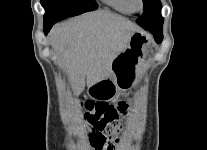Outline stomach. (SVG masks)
Wrapping results in <instances>:
<instances>
[{"label":"stomach","instance_id":"stomach-1","mask_svg":"<svg viewBox=\"0 0 207 150\" xmlns=\"http://www.w3.org/2000/svg\"><path fill=\"white\" fill-rule=\"evenodd\" d=\"M147 43L148 37L144 32H134L128 47L113 60L112 76L88 87V95L94 99L110 100L119 89L129 87L137 75L139 63L145 57Z\"/></svg>","mask_w":207,"mask_h":150}]
</instances>
